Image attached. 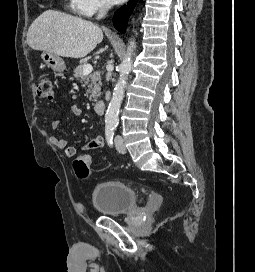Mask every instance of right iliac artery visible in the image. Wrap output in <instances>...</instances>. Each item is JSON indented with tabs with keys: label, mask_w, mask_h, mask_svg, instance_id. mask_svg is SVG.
Listing matches in <instances>:
<instances>
[{
	"label": "right iliac artery",
	"mask_w": 255,
	"mask_h": 272,
	"mask_svg": "<svg viewBox=\"0 0 255 272\" xmlns=\"http://www.w3.org/2000/svg\"><path fill=\"white\" fill-rule=\"evenodd\" d=\"M105 135H106V140L109 146L113 145V136H114V131L111 128H107L105 130Z\"/></svg>",
	"instance_id": "82829eb1"
}]
</instances>
